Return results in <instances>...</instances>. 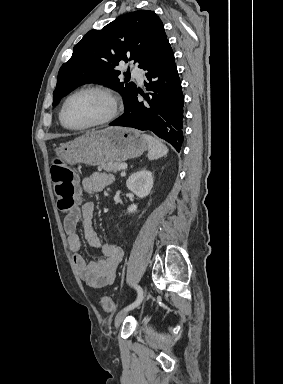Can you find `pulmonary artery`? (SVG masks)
I'll list each match as a JSON object with an SVG mask.
<instances>
[{"mask_svg":"<svg viewBox=\"0 0 283 384\" xmlns=\"http://www.w3.org/2000/svg\"><path fill=\"white\" fill-rule=\"evenodd\" d=\"M131 74L135 77V76H144L143 73H142V69L141 68H132L131 69Z\"/></svg>","mask_w":283,"mask_h":384,"instance_id":"1","label":"pulmonary artery"}]
</instances>
